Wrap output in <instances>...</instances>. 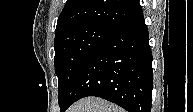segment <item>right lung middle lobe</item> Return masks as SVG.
Masks as SVG:
<instances>
[{"label":"right lung middle lobe","mask_w":193,"mask_h":112,"mask_svg":"<svg viewBox=\"0 0 193 112\" xmlns=\"http://www.w3.org/2000/svg\"><path fill=\"white\" fill-rule=\"evenodd\" d=\"M113 30L97 25H79L56 34L55 73L58 76V103L61 107L72 83L90 54L109 36Z\"/></svg>","instance_id":"1"}]
</instances>
